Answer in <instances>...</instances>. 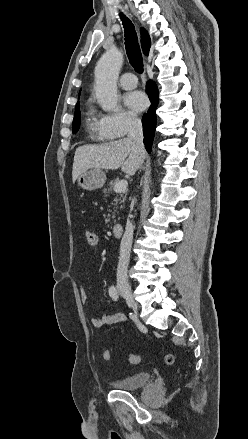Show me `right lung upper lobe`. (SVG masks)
<instances>
[{
	"instance_id": "cb5924a9",
	"label": "right lung upper lobe",
	"mask_w": 248,
	"mask_h": 439,
	"mask_svg": "<svg viewBox=\"0 0 248 439\" xmlns=\"http://www.w3.org/2000/svg\"><path fill=\"white\" fill-rule=\"evenodd\" d=\"M141 44L143 48V52L145 55H148L150 46H151V40L144 28H141ZM80 104L79 102L76 104L75 111L79 110Z\"/></svg>"
}]
</instances>
